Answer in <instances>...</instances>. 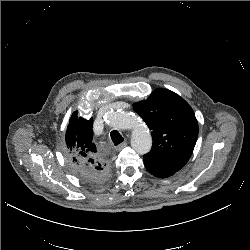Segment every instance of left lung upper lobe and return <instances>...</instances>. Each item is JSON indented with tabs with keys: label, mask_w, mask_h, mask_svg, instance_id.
I'll return each mask as SVG.
<instances>
[{
	"label": "left lung upper lobe",
	"mask_w": 250,
	"mask_h": 250,
	"mask_svg": "<svg viewBox=\"0 0 250 250\" xmlns=\"http://www.w3.org/2000/svg\"><path fill=\"white\" fill-rule=\"evenodd\" d=\"M133 108L152 130V149L143 156L144 162L179 171L191 157L198 137V122L190 105L170 90L156 89Z\"/></svg>",
	"instance_id": "left-lung-upper-lobe-1"
}]
</instances>
